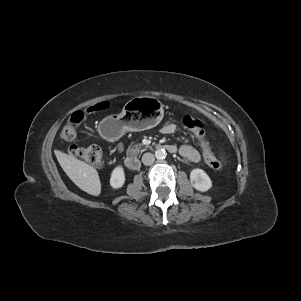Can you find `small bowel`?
<instances>
[{
    "label": "small bowel",
    "mask_w": 301,
    "mask_h": 301,
    "mask_svg": "<svg viewBox=\"0 0 301 301\" xmlns=\"http://www.w3.org/2000/svg\"><path fill=\"white\" fill-rule=\"evenodd\" d=\"M177 130V126L173 123H168L161 128V133L165 135L173 134ZM117 149L122 150L121 144H117ZM179 154L181 157L190 163H199L202 159L200 152L190 145L180 147Z\"/></svg>",
    "instance_id": "1"
}]
</instances>
